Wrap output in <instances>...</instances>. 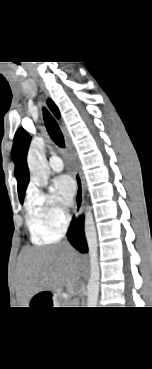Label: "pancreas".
<instances>
[{
    "label": "pancreas",
    "instance_id": "1",
    "mask_svg": "<svg viewBox=\"0 0 152 369\" xmlns=\"http://www.w3.org/2000/svg\"><path fill=\"white\" fill-rule=\"evenodd\" d=\"M74 303H75V304H78V300H77V299H75V300H74Z\"/></svg>",
    "mask_w": 152,
    "mask_h": 369
}]
</instances>
